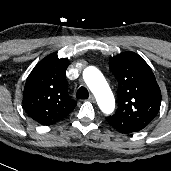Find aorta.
Masks as SVG:
<instances>
[{
	"label": "aorta",
	"instance_id": "obj_1",
	"mask_svg": "<svg viewBox=\"0 0 171 171\" xmlns=\"http://www.w3.org/2000/svg\"><path fill=\"white\" fill-rule=\"evenodd\" d=\"M83 78L95 95L100 109L105 114H111L115 108V100L103 74L96 67L89 66L83 71Z\"/></svg>",
	"mask_w": 171,
	"mask_h": 171
}]
</instances>
